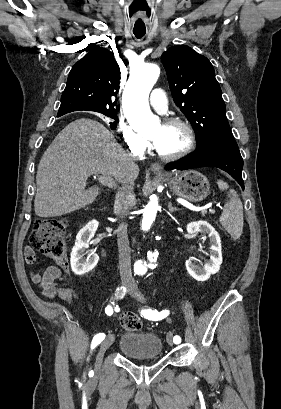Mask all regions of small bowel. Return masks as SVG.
I'll list each match as a JSON object with an SVG mask.
<instances>
[{"label":"small bowel","mask_w":281,"mask_h":409,"mask_svg":"<svg viewBox=\"0 0 281 409\" xmlns=\"http://www.w3.org/2000/svg\"><path fill=\"white\" fill-rule=\"evenodd\" d=\"M31 250L32 245L26 244L25 263L27 267H34L36 263L35 253L33 254ZM30 276L34 283L40 285L43 294L48 298L58 297L69 303H73L79 298L78 293L74 289L56 283L63 276V269L61 267L51 265L48 266L42 274L39 272L31 271ZM35 279H37L38 282H35Z\"/></svg>","instance_id":"small-bowel-1"}]
</instances>
